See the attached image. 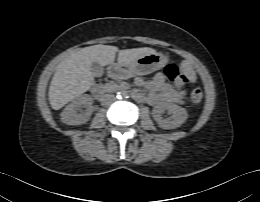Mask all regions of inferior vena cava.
<instances>
[{
  "label": "inferior vena cava",
  "instance_id": "obj_1",
  "mask_svg": "<svg viewBox=\"0 0 260 202\" xmlns=\"http://www.w3.org/2000/svg\"><path fill=\"white\" fill-rule=\"evenodd\" d=\"M116 97L113 94H105L101 98V104L107 106L115 101Z\"/></svg>",
  "mask_w": 260,
  "mask_h": 202
}]
</instances>
